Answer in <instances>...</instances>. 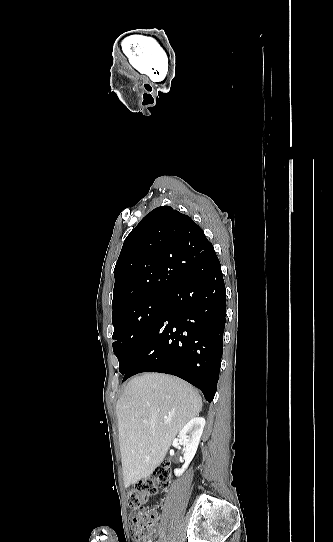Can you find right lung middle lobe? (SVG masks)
<instances>
[{"instance_id":"obj_1","label":"right lung middle lobe","mask_w":333,"mask_h":542,"mask_svg":"<svg viewBox=\"0 0 333 542\" xmlns=\"http://www.w3.org/2000/svg\"><path fill=\"white\" fill-rule=\"evenodd\" d=\"M168 302V293L132 306L112 316L113 351L119 360V371L125 374L135 354Z\"/></svg>"}]
</instances>
